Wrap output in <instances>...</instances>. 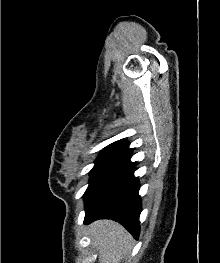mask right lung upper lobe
I'll use <instances>...</instances> for the list:
<instances>
[{"mask_svg":"<svg viewBox=\"0 0 220 263\" xmlns=\"http://www.w3.org/2000/svg\"><path fill=\"white\" fill-rule=\"evenodd\" d=\"M127 149H129V144L124 142V140H120L104 148V151H102L101 153H112L117 155Z\"/></svg>","mask_w":220,"mask_h":263,"instance_id":"right-lung-upper-lobe-1","label":"right lung upper lobe"}]
</instances>
